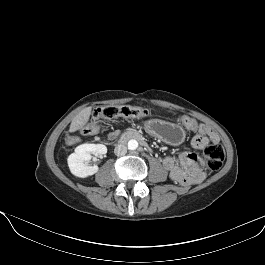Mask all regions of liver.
<instances>
[{"instance_id":"obj_1","label":"liver","mask_w":265,"mask_h":265,"mask_svg":"<svg viewBox=\"0 0 265 265\" xmlns=\"http://www.w3.org/2000/svg\"><path fill=\"white\" fill-rule=\"evenodd\" d=\"M92 107H86L81 110L73 119L70 124V132H75L82 129L89 121L91 115Z\"/></svg>"}]
</instances>
